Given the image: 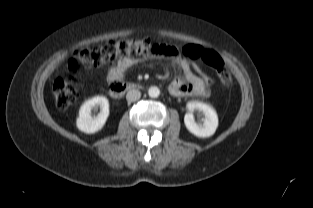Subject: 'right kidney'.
<instances>
[{
  "label": "right kidney",
  "instance_id": "ca27d5eb",
  "mask_svg": "<svg viewBox=\"0 0 313 208\" xmlns=\"http://www.w3.org/2000/svg\"><path fill=\"white\" fill-rule=\"evenodd\" d=\"M100 112L97 116H92L91 111ZM109 116V102L104 96H96L86 101L79 110V117L77 118V128L87 134L96 133L103 128Z\"/></svg>",
  "mask_w": 313,
  "mask_h": 208
}]
</instances>
